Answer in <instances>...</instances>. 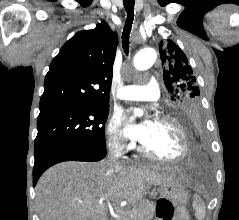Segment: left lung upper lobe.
<instances>
[{
  "label": "left lung upper lobe",
  "instance_id": "5c2ea615",
  "mask_svg": "<svg viewBox=\"0 0 239 220\" xmlns=\"http://www.w3.org/2000/svg\"><path fill=\"white\" fill-rule=\"evenodd\" d=\"M162 44L159 52L170 111L178 116L185 110H201L200 90L187 57L173 41L168 40L164 46Z\"/></svg>",
  "mask_w": 239,
  "mask_h": 220
}]
</instances>
